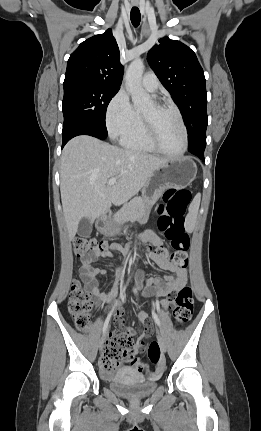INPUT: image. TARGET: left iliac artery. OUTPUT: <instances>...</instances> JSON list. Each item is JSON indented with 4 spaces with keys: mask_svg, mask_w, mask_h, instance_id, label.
<instances>
[{
    "mask_svg": "<svg viewBox=\"0 0 261 431\" xmlns=\"http://www.w3.org/2000/svg\"><path fill=\"white\" fill-rule=\"evenodd\" d=\"M152 316H153V318H154V320H155L156 324H157L158 326H160V321H159L158 315H157V314H156V312H155V311H153V310H152Z\"/></svg>",
    "mask_w": 261,
    "mask_h": 431,
    "instance_id": "obj_1",
    "label": "left iliac artery"
}]
</instances>
